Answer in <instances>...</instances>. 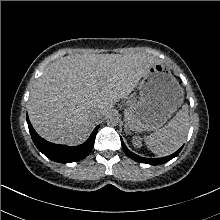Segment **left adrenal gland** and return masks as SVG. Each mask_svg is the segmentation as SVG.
I'll list each match as a JSON object with an SVG mask.
<instances>
[{
    "mask_svg": "<svg viewBox=\"0 0 220 220\" xmlns=\"http://www.w3.org/2000/svg\"><path fill=\"white\" fill-rule=\"evenodd\" d=\"M125 131H126L127 133H129L126 125H125Z\"/></svg>",
    "mask_w": 220,
    "mask_h": 220,
    "instance_id": "a2214340",
    "label": "left adrenal gland"
}]
</instances>
